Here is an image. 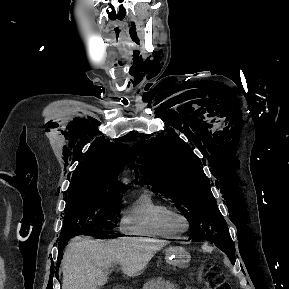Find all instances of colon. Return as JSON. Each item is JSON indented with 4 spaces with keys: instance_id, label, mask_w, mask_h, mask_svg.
I'll list each match as a JSON object with an SVG mask.
<instances>
[{
    "instance_id": "1",
    "label": "colon",
    "mask_w": 289,
    "mask_h": 289,
    "mask_svg": "<svg viewBox=\"0 0 289 289\" xmlns=\"http://www.w3.org/2000/svg\"><path fill=\"white\" fill-rule=\"evenodd\" d=\"M202 279L208 289H231L227 282L220 279L218 272L213 267H206L202 271Z\"/></svg>"
}]
</instances>
